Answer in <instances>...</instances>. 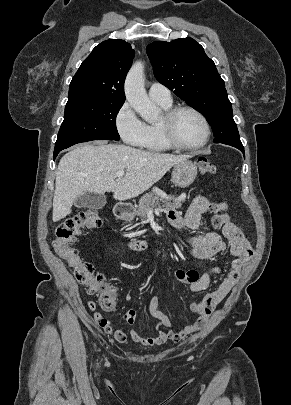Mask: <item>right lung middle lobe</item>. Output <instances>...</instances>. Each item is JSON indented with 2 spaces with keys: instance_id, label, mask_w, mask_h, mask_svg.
<instances>
[{
  "instance_id": "right-lung-middle-lobe-1",
  "label": "right lung middle lobe",
  "mask_w": 291,
  "mask_h": 405,
  "mask_svg": "<svg viewBox=\"0 0 291 405\" xmlns=\"http://www.w3.org/2000/svg\"><path fill=\"white\" fill-rule=\"evenodd\" d=\"M124 102L83 101L66 104L64 121L54 148L57 154L74 144L91 140H119L116 116Z\"/></svg>"
}]
</instances>
